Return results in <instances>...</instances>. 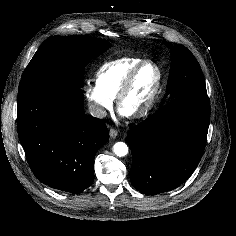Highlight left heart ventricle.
I'll return each mask as SVG.
<instances>
[{
    "label": "left heart ventricle",
    "mask_w": 236,
    "mask_h": 236,
    "mask_svg": "<svg viewBox=\"0 0 236 236\" xmlns=\"http://www.w3.org/2000/svg\"><path fill=\"white\" fill-rule=\"evenodd\" d=\"M158 81L157 69L147 65L137 74L131 90L122 102L121 110L129 115L142 109L149 101Z\"/></svg>",
    "instance_id": "1"
}]
</instances>
